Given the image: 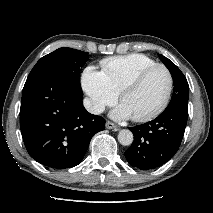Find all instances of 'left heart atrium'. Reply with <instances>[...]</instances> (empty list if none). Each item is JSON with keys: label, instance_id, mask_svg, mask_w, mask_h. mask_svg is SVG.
I'll return each instance as SVG.
<instances>
[{"label": "left heart atrium", "instance_id": "1", "mask_svg": "<svg viewBox=\"0 0 213 213\" xmlns=\"http://www.w3.org/2000/svg\"><path fill=\"white\" fill-rule=\"evenodd\" d=\"M111 116L119 120L127 119L131 117L127 109L122 104L119 105L116 109H114V111L111 113Z\"/></svg>", "mask_w": 213, "mask_h": 213}]
</instances>
